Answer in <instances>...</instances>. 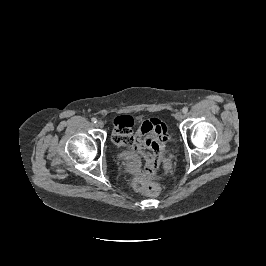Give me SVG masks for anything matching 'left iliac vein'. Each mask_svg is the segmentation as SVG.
<instances>
[{"label": "left iliac vein", "instance_id": "1", "mask_svg": "<svg viewBox=\"0 0 266 266\" xmlns=\"http://www.w3.org/2000/svg\"><path fill=\"white\" fill-rule=\"evenodd\" d=\"M176 119H177L178 121H182V120L184 119V114L181 113V112H178V113L176 114Z\"/></svg>", "mask_w": 266, "mask_h": 266}]
</instances>
